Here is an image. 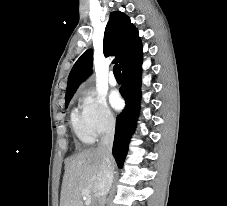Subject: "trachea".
I'll return each instance as SVG.
<instances>
[{"label": "trachea", "mask_w": 227, "mask_h": 206, "mask_svg": "<svg viewBox=\"0 0 227 206\" xmlns=\"http://www.w3.org/2000/svg\"><path fill=\"white\" fill-rule=\"evenodd\" d=\"M113 72H114V75H115L116 78H121V68H120V65L116 64L113 67Z\"/></svg>", "instance_id": "1"}]
</instances>
